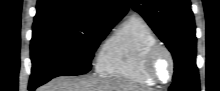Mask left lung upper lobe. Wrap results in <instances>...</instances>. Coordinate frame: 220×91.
Here are the masks:
<instances>
[{"label":"left lung upper lobe","mask_w":220,"mask_h":91,"mask_svg":"<svg viewBox=\"0 0 220 91\" xmlns=\"http://www.w3.org/2000/svg\"><path fill=\"white\" fill-rule=\"evenodd\" d=\"M173 55L170 91H199L196 36L190 0H128Z\"/></svg>","instance_id":"obj_1"}]
</instances>
